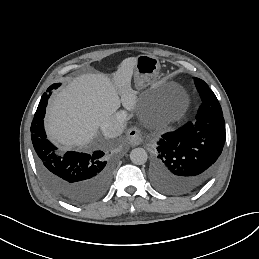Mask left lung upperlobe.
Listing matches in <instances>:
<instances>
[{"mask_svg": "<svg viewBox=\"0 0 259 259\" xmlns=\"http://www.w3.org/2000/svg\"><path fill=\"white\" fill-rule=\"evenodd\" d=\"M194 81H195V85L197 87L198 92L199 91H208L209 90L208 85L203 80H201L199 78H194Z\"/></svg>", "mask_w": 259, "mask_h": 259, "instance_id": "5c2ea615", "label": "left lung upper lobe"}]
</instances>
